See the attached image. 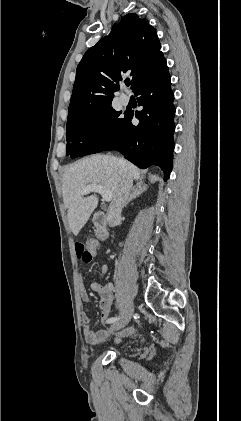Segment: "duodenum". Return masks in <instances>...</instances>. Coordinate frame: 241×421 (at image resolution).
<instances>
[{
    "mask_svg": "<svg viewBox=\"0 0 241 421\" xmlns=\"http://www.w3.org/2000/svg\"><path fill=\"white\" fill-rule=\"evenodd\" d=\"M93 222L96 227V234L100 240H105L107 233V216L104 212H96L93 216Z\"/></svg>",
    "mask_w": 241,
    "mask_h": 421,
    "instance_id": "410a0bca",
    "label": "duodenum"
}]
</instances>
